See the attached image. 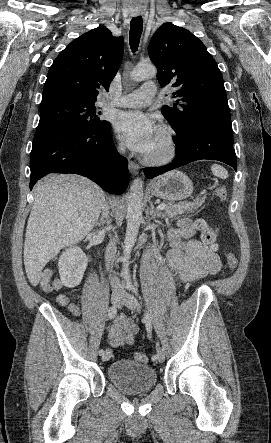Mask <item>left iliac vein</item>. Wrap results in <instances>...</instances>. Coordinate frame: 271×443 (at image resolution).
<instances>
[{"mask_svg": "<svg viewBox=\"0 0 271 443\" xmlns=\"http://www.w3.org/2000/svg\"><path fill=\"white\" fill-rule=\"evenodd\" d=\"M122 303L132 311L139 312L140 311V303L138 300L131 294L125 293L122 296ZM157 356L159 362H163L165 360V353L161 347L157 348Z\"/></svg>", "mask_w": 271, "mask_h": 443, "instance_id": "4c4485c4", "label": "left iliac vein"}]
</instances>
